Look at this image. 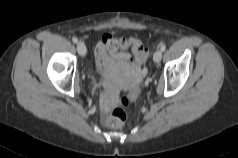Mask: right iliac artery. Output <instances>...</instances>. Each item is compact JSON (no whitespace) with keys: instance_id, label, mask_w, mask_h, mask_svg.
<instances>
[{"instance_id":"right-iliac-artery-1","label":"right iliac artery","mask_w":238,"mask_h":158,"mask_svg":"<svg viewBox=\"0 0 238 158\" xmlns=\"http://www.w3.org/2000/svg\"><path fill=\"white\" fill-rule=\"evenodd\" d=\"M72 41H73L74 43H77V42H78V39H77L76 37H73V38H72Z\"/></svg>"}]
</instances>
